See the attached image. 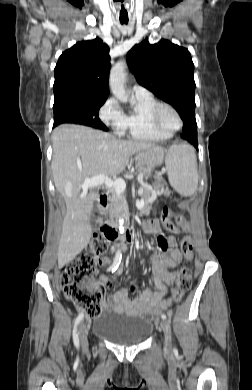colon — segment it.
I'll return each mask as SVG.
<instances>
[{"mask_svg": "<svg viewBox=\"0 0 252 390\" xmlns=\"http://www.w3.org/2000/svg\"><path fill=\"white\" fill-rule=\"evenodd\" d=\"M164 227L173 233H178L177 225H181L183 217L166 208L162 213ZM192 240L186 236L182 239L181 250L185 258L192 254ZM109 250V233L102 231L94 235L85 247L84 252L61 270L60 286L66 298L88 318H95L101 314L104 292L94 283L97 259ZM188 260V259H187ZM192 283V270L189 267L181 269L173 299L179 300L186 293ZM147 313H150L149 311Z\"/></svg>", "mask_w": 252, "mask_h": 390, "instance_id": "obj_1", "label": "colon"}]
</instances>
